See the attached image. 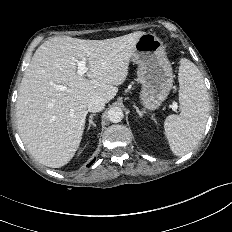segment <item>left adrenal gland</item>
Returning a JSON list of instances; mask_svg holds the SVG:
<instances>
[{"label":"left adrenal gland","mask_w":232,"mask_h":232,"mask_svg":"<svg viewBox=\"0 0 232 232\" xmlns=\"http://www.w3.org/2000/svg\"><path fill=\"white\" fill-rule=\"evenodd\" d=\"M134 108L136 109V112L140 117H143V115L146 113L145 111L144 112L140 111L139 108L135 104H134Z\"/></svg>","instance_id":"obj_1"}]
</instances>
